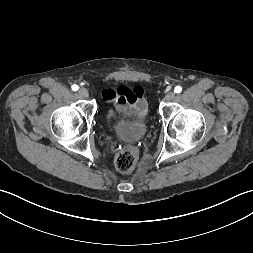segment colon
I'll return each instance as SVG.
<instances>
[{
  "label": "colon",
  "mask_w": 253,
  "mask_h": 253,
  "mask_svg": "<svg viewBox=\"0 0 253 253\" xmlns=\"http://www.w3.org/2000/svg\"><path fill=\"white\" fill-rule=\"evenodd\" d=\"M137 163V157L134 150L131 147H125L119 151L115 158L116 169L123 173H131Z\"/></svg>",
  "instance_id": "1"
}]
</instances>
